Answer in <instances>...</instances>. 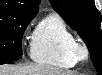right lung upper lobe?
Listing matches in <instances>:
<instances>
[{
    "mask_svg": "<svg viewBox=\"0 0 102 75\" xmlns=\"http://www.w3.org/2000/svg\"><path fill=\"white\" fill-rule=\"evenodd\" d=\"M40 0H0V11L36 15Z\"/></svg>",
    "mask_w": 102,
    "mask_h": 75,
    "instance_id": "cb5924a9",
    "label": "right lung upper lobe"
}]
</instances>
